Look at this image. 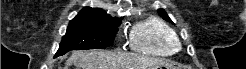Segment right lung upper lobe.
Wrapping results in <instances>:
<instances>
[{
	"label": "right lung upper lobe",
	"mask_w": 246,
	"mask_h": 69,
	"mask_svg": "<svg viewBox=\"0 0 246 69\" xmlns=\"http://www.w3.org/2000/svg\"><path fill=\"white\" fill-rule=\"evenodd\" d=\"M120 21L122 18H111L106 12L100 8H83L78 15L71 21Z\"/></svg>",
	"instance_id": "obj_1"
}]
</instances>
